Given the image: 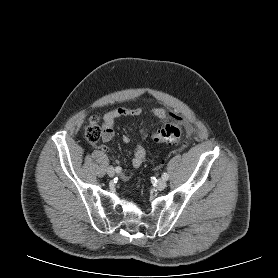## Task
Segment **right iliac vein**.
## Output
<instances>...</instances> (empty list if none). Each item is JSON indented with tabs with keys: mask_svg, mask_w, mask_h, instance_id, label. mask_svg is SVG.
<instances>
[{
	"mask_svg": "<svg viewBox=\"0 0 278 278\" xmlns=\"http://www.w3.org/2000/svg\"><path fill=\"white\" fill-rule=\"evenodd\" d=\"M107 174L110 176V177H113L115 175V169L113 167H108L107 169Z\"/></svg>",
	"mask_w": 278,
	"mask_h": 278,
	"instance_id": "obj_1",
	"label": "right iliac vein"
}]
</instances>
